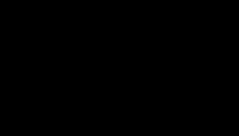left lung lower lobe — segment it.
Masks as SVG:
<instances>
[{"label":"left lung lower lobe","mask_w":239,"mask_h":136,"mask_svg":"<svg viewBox=\"0 0 239 136\" xmlns=\"http://www.w3.org/2000/svg\"><path fill=\"white\" fill-rule=\"evenodd\" d=\"M203 67L202 54L188 52L136 64L131 81L137 106L155 119L180 114L197 96Z\"/></svg>","instance_id":"0a47b994"}]
</instances>
